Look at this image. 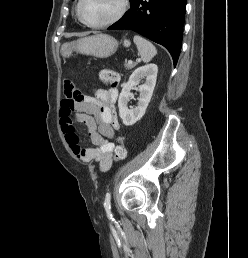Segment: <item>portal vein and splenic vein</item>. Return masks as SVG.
<instances>
[{"label": "portal vein and splenic vein", "instance_id": "18ae733b", "mask_svg": "<svg viewBox=\"0 0 248 258\" xmlns=\"http://www.w3.org/2000/svg\"><path fill=\"white\" fill-rule=\"evenodd\" d=\"M129 63H133L132 60H129Z\"/></svg>", "mask_w": 248, "mask_h": 258}]
</instances>
